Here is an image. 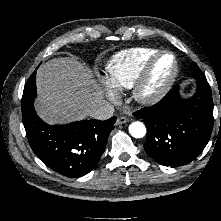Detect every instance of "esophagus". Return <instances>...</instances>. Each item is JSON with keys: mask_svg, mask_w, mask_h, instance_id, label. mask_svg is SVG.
Segmentation results:
<instances>
[{"mask_svg": "<svg viewBox=\"0 0 221 221\" xmlns=\"http://www.w3.org/2000/svg\"><path fill=\"white\" fill-rule=\"evenodd\" d=\"M128 121H129V120H128L127 117H125V116H120V117L117 118L116 124H117V125H121V124L127 123Z\"/></svg>", "mask_w": 221, "mask_h": 221, "instance_id": "esophagus-1", "label": "esophagus"}]
</instances>
